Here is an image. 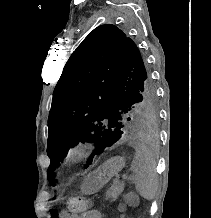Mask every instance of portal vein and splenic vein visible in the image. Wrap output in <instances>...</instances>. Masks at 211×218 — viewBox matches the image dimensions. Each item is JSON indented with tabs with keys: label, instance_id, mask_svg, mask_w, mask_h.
I'll use <instances>...</instances> for the list:
<instances>
[{
	"label": "portal vein and splenic vein",
	"instance_id": "1",
	"mask_svg": "<svg viewBox=\"0 0 211 218\" xmlns=\"http://www.w3.org/2000/svg\"><path fill=\"white\" fill-rule=\"evenodd\" d=\"M122 178H127L126 174H124V176H122Z\"/></svg>",
	"mask_w": 211,
	"mask_h": 218
}]
</instances>
